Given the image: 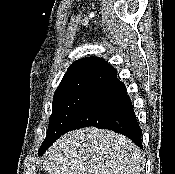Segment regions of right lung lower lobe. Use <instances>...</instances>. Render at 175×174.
<instances>
[{"instance_id": "98d812e1", "label": "right lung lower lobe", "mask_w": 175, "mask_h": 174, "mask_svg": "<svg viewBox=\"0 0 175 174\" xmlns=\"http://www.w3.org/2000/svg\"><path fill=\"white\" fill-rule=\"evenodd\" d=\"M88 126L123 134L142 148V130L138 125L126 87L118 80L116 74L89 93L70 121L65 133ZM51 145L40 148V154H43Z\"/></svg>"}]
</instances>
